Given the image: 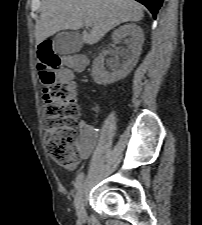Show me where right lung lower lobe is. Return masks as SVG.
I'll list each match as a JSON object with an SVG mask.
<instances>
[{
    "label": "right lung lower lobe",
    "instance_id": "obj_1",
    "mask_svg": "<svg viewBox=\"0 0 202 225\" xmlns=\"http://www.w3.org/2000/svg\"><path fill=\"white\" fill-rule=\"evenodd\" d=\"M136 1L145 5L153 14L154 18H156L157 12L163 3V0H136Z\"/></svg>",
    "mask_w": 202,
    "mask_h": 225
}]
</instances>
